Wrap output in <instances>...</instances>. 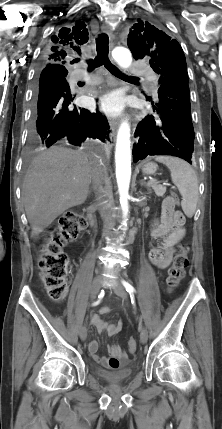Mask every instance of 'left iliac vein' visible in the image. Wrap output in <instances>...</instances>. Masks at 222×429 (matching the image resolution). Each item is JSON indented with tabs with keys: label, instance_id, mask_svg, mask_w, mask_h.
Listing matches in <instances>:
<instances>
[{
	"label": "left iliac vein",
	"instance_id": "left-iliac-vein-1",
	"mask_svg": "<svg viewBox=\"0 0 222 429\" xmlns=\"http://www.w3.org/2000/svg\"><path fill=\"white\" fill-rule=\"evenodd\" d=\"M113 291L116 295L120 296L123 299H127L128 294L125 290V288L121 285V284H116L113 286ZM148 339V332L146 330V328L142 325L140 327V341L141 343H146Z\"/></svg>",
	"mask_w": 222,
	"mask_h": 429
}]
</instances>
